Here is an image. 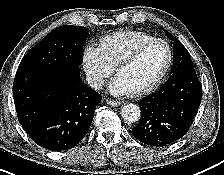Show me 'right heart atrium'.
Listing matches in <instances>:
<instances>
[{"instance_id": "1", "label": "right heart atrium", "mask_w": 224, "mask_h": 175, "mask_svg": "<svg viewBox=\"0 0 224 175\" xmlns=\"http://www.w3.org/2000/svg\"><path fill=\"white\" fill-rule=\"evenodd\" d=\"M83 62L90 84L97 89L104 84L105 80L114 71V66L106 59L98 47H86Z\"/></svg>"}]
</instances>
